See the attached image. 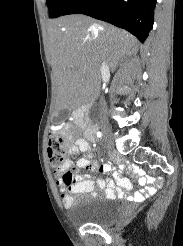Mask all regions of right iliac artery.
I'll list each match as a JSON object with an SVG mask.
<instances>
[{"instance_id": "82829eb1", "label": "right iliac artery", "mask_w": 183, "mask_h": 246, "mask_svg": "<svg viewBox=\"0 0 183 246\" xmlns=\"http://www.w3.org/2000/svg\"><path fill=\"white\" fill-rule=\"evenodd\" d=\"M97 137H99V138H101V137H102L101 132H97Z\"/></svg>"}]
</instances>
